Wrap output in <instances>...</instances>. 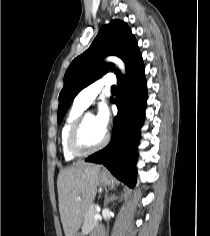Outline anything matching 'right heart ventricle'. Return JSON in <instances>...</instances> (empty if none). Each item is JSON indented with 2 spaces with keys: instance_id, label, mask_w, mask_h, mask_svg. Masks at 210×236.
I'll return each mask as SVG.
<instances>
[{
  "instance_id": "e07e8e85",
  "label": "right heart ventricle",
  "mask_w": 210,
  "mask_h": 236,
  "mask_svg": "<svg viewBox=\"0 0 210 236\" xmlns=\"http://www.w3.org/2000/svg\"><path fill=\"white\" fill-rule=\"evenodd\" d=\"M85 108L78 105L76 102H74L71 110L69 111L64 124L61 129V135H60V144H61V150L63 157L66 160H74L77 158V155L72 154L67 146V138L69 134V130L75 119L84 111Z\"/></svg>"
}]
</instances>
